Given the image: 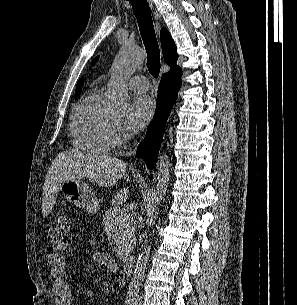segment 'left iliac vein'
Wrapping results in <instances>:
<instances>
[{
	"instance_id": "1",
	"label": "left iliac vein",
	"mask_w": 297,
	"mask_h": 305,
	"mask_svg": "<svg viewBox=\"0 0 297 305\" xmlns=\"http://www.w3.org/2000/svg\"><path fill=\"white\" fill-rule=\"evenodd\" d=\"M135 305H141L140 303H135Z\"/></svg>"
}]
</instances>
